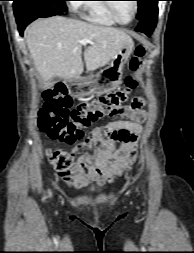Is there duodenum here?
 Wrapping results in <instances>:
<instances>
[{"label":"duodenum","instance_id":"410a0bca","mask_svg":"<svg viewBox=\"0 0 194 253\" xmlns=\"http://www.w3.org/2000/svg\"><path fill=\"white\" fill-rule=\"evenodd\" d=\"M74 76H75V78H80L81 75H80V73H75Z\"/></svg>","mask_w":194,"mask_h":253}]
</instances>
